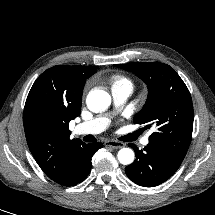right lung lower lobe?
<instances>
[{"label": "right lung lower lobe", "mask_w": 215, "mask_h": 215, "mask_svg": "<svg viewBox=\"0 0 215 215\" xmlns=\"http://www.w3.org/2000/svg\"><path fill=\"white\" fill-rule=\"evenodd\" d=\"M103 147L102 143L83 144L72 156L71 172L61 185L73 186L83 181L91 170L93 154Z\"/></svg>", "instance_id": "right-lung-lower-lobe-1"}]
</instances>
